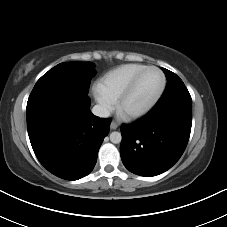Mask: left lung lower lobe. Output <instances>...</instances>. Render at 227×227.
Listing matches in <instances>:
<instances>
[{"mask_svg":"<svg viewBox=\"0 0 227 227\" xmlns=\"http://www.w3.org/2000/svg\"><path fill=\"white\" fill-rule=\"evenodd\" d=\"M192 103L156 104L143 118L121 126L124 166L140 176L170 169L183 154L191 132Z\"/></svg>","mask_w":227,"mask_h":227,"instance_id":"left-lung-lower-lobe-1","label":"left lung lower lobe"}]
</instances>
